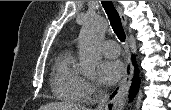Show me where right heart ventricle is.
Instances as JSON below:
<instances>
[{
	"instance_id": "1",
	"label": "right heart ventricle",
	"mask_w": 171,
	"mask_h": 110,
	"mask_svg": "<svg viewBox=\"0 0 171 110\" xmlns=\"http://www.w3.org/2000/svg\"><path fill=\"white\" fill-rule=\"evenodd\" d=\"M54 95L67 102H83L88 99L86 80L75 70L70 51L62 52L56 59L51 74Z\"/></svg>"
}]
</instances>
